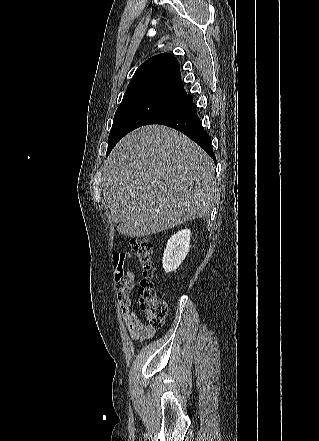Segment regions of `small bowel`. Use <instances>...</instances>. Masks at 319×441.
<instances>
[{
  "mask_svg": "<svg viewBox=\"0 0 319 441\" xmlns=\"http://www.w3.org/2000/svg\"><path fill=\"white\" fill-rule=\"evenodd\" d=\"M128 257V253L116 252L114 254V266L119 265L124 267V263ZM134 281V273L131 270L124 269L123 288L118 289L119 304L124 322L128 328L130 335L135 339L146 340L152 338L155 335L156 329L143 324L132 307L130 292L134 288Z\"/></svg>",
  "mask_w": 319,
  "mask_h": 441,
  "instance_id": "1",
  "label": "small bowel"
}]
</instances>
